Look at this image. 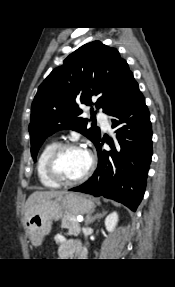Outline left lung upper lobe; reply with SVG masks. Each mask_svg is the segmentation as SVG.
Segmentation results:
<instances>
[{
	"instance_id": "5c2ea615",
	"label": "left lung upper lobe",
	"mask_w": 175,
	"mask_h": 287,
	"mask_svg": "<svg viewBox=\"0 0 175 287\" xmlns=\"http://www.w3.org/2000/svg\"><path fill=\"white\" fill-rule=\"evenodd\" d=\"M136 84L127 62L115 48L94 41L74 51L43 81L32 103L29 132L33 159L44 140L61 129L78 131L96 146L100 130L80 117L78 104L95 105L112 115Z\"/></svg>"
}]
</instances>
